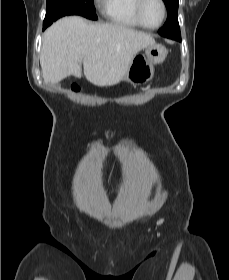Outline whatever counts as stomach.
Here are the masks:
<instances>
[{
	"instance_id": "0dacf381",
	"label": "stomach",
	"mask_w": 229,
	"mask_h": 280,
	"mask_svg": "<svg viewBox=\"0 0 229 280\" xmlns=\"http://www.w3.org/2000/svg\"><path fill=\"white\" fill-rule=\"evenodd\" d=\"M145 53L135 56L131 61L123 80L132 84L143 83L154 76V66L162 63L167 55V50L160 44L147 45Z\"/></svg>"
}]
</instances>
